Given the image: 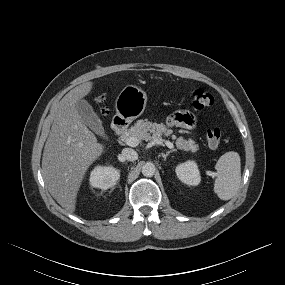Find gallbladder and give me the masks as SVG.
I'll use <instances>...</instances> for the list:
<instances>
[{
  "label": "gallbladder",
  "instance_id": "gallbladder-1",
  "mask_svg": "<svg viewBox=\"0 0 285 285\" xmlns=\"http://www.w3.org/2000/svg\"><path fill=\"white\" fill-rule=\"evenodd\" d=\"M76 109L85 125L101 138L108 139L101 119L86 100L77 101Z\"/></svg>",
  "mask_w": 285,
  "mask_h": 285
}]
</instances>
